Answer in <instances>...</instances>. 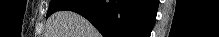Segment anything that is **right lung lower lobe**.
Listing matches in <instances>:
<instances>
[{"label":"right lung lower lobe","instance_id":"1","mask_svg":"<svg viewBox=\"0 0 219 37\" xmlns=\"http://www.w3.org/2000/svg\"><path fill=\"white\" fill-rule=\"evenodd\" d=\"M157 0H74L60 10L88 19L104 37H149Z\"/></svg>","mask_w":219,"mask_h":37}]
</instances>
